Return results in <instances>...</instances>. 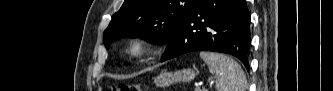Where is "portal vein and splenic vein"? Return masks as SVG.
Instances as JSON below:
<instances>
[{
	"instance_id": "obj_1",
	"label": "portal vein and splenic vein",
	"mask_w": 333,
	"mask_h": 91,
	"mask_svg": "<svg viewBox=\"0 0 333 91\" xmlns=\"http://www.w3.org/2000/svg\"><path fill=\"white\" fill-rule=\"evenodd\" d=\"M198 89H200V86H196V87H195V90H196V91H197Z\"/></svg>"
}]
</instances>
